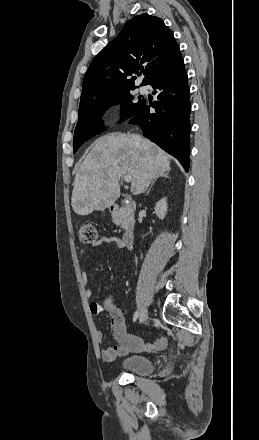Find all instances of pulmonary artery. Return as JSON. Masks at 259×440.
<instances>
[{"label":"pulmonary artery","mask_w":259,"mask_h":440,"mask_svg":"<svg viewBox=\"0 0 259 440\" xmlns=\"http://www.w3.org/2000/svg\"><path fill=\"white\" fill-rule=\"evenodd\" d=\"M139 91H140L141 93H146L147 89H146V87L141 86V87L139 88Z\"/></svg>","instance_id":"obj_1"}]
</instances>
